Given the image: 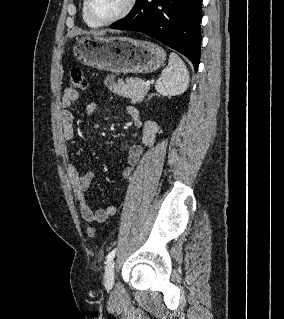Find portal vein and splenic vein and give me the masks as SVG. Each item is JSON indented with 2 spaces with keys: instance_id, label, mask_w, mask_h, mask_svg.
Listing matches in <instances>:
<instances>
[{
  "instance_id": "18ae733b",
  "label": "portal vein and splenic vein",
  "mask_w": 284,
  "mask_h": 319,
  "mask_svg": "<svg viewBox=\"0 0 284 319\" xmlns=\"http://www.w3.org/2000/svg\"><path fill=\"white\" fill-rule=\"evenodd\" d=\"M143 84H144L145 86H150V81H143Z\"/></svg>"
}]
</instances>
